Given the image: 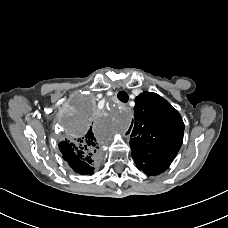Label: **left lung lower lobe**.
Returning <instances> with one entry per match:
<instances>
[{
    "instance_id": "obj_1",
    "label": "left lung lower lobe",
    "mask_w": 228,
    "mask_h": 228,
    "mask_svg": "<svg viewBox=\"0 0 228 228\" xmlns=\"http://www.w3.org/2000/svg\"><path fill=\"white\" fill-rule=\"evenodd\" d=\"M172 160L163 158H148L143 162L135 161L138 169L143 170L147 175L154 176L164 172L171 164Z\"/></svg>"
}]
</instances>
